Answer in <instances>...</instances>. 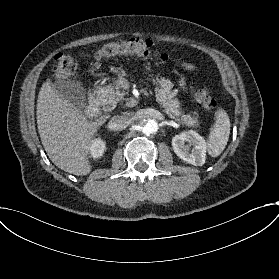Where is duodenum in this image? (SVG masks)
<instances>
[{"instance_id":"obj_1","label":"duodenum","mask_w":279,"mask_h":279,"mask_svg":"<svg viewBox=\"0 0 279 279\" xmlns=\"http://www.w3.org/2000/svg\"><path fill=\"white\" fill-rule=\"evenodd\" d=\"M86 113L88 116L95 117L100 114L99 102L96 99H91L88 103Z\"/></svg>"}]
</instances>
